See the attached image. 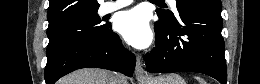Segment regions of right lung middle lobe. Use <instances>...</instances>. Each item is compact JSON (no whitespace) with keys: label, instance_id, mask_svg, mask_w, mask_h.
Masks as SVG:
<instances>
[{"label":"right lung middle lobe","instance_id":"obj_1","mask_svg":"<svg viewBox=\"0 0 260 84\" xmlns=\"http://www.w3.org/2000/svg\"><path fill=\"white\" fill-rule=\"evenodd\" d=\"M94 13L82 15L58 26L48 28L47 63L55 59L65 48L85 40L103 39L109 32L110 24H101Z\"/></svg>","mask_w":260,"mask_h":84}]
</instances>
